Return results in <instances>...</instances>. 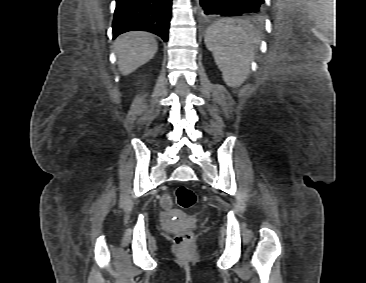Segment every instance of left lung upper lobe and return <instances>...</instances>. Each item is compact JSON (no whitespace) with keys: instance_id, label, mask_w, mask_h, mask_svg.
<instances>
[{"instance_id":"1","label":"left lung upper lobe","mask_w":366,"mask_h":283,"mask_svg":"<svg viewBox=\"0 0 366 283\" xmlns=\"http://www.w3.org/2000/svg\"><path fill=\"white\" fill-rule=\"evenodd\" d=\"M262 14H263V12H260V13H257V14H253V16L255 18H261Z\"/></svg>"}]
</instances>
